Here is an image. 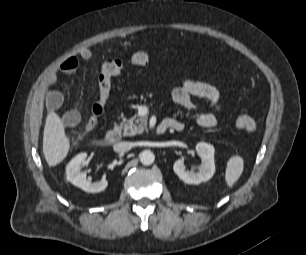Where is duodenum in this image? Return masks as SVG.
Returning <instances> with one entry per match:
<instances>
[{
  "mask_svg": "<svg viewBox=\"0 0 306 255\" xmlns=\"http://www.w3.org/2000/svg\"><path fill=\"white\" fill-rule=\"evenodd\" d=\"M169 129H181V125L178 122L172 120H164L156 127V132L159 135L166 133ZM120 139V131L118 129H110L105 135V143L108 145L118 142Z\"/></svg>",
  "mask_w": 306,
  "mask_h": 255,
  "instance_id": "obj_1",
  "label": "duodenum"
}]
</instances>
